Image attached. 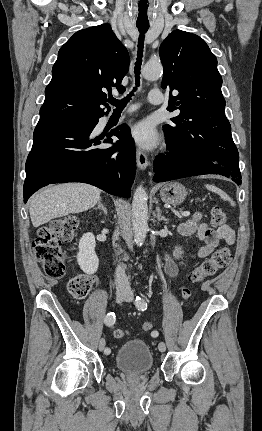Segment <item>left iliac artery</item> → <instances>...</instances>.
I'll return each instance as SVG.
<instances>
[{
    "mask_svg": "<svg viewBox=\"0 0 262 431\" xmlns=\"http://www.w3.org/2000/svg\"><path fill=\"white\" fill-rule=\"evenodd\" d=\"M135 305L138 308V310L144 311V310L147 309V303H146V301L142 297H140V296L136 297ZM153 334L156 335V336L159 335V333L157 331L153 332Z\"/></svg>",
    "mask_w": 262,
    "mask_h": 431,
    "instance_id": "1",
    "label": "left iliac artery"
}]
</instances>
